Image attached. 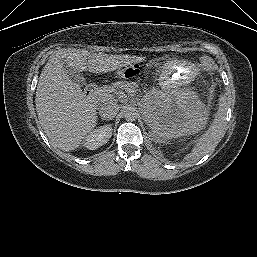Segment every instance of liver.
Here are the masks:
<instances>
[{
  "label": "liver",
  "mask_w": 257,
  "mask_h": 257,
  "mask_svg": "<svg viewBox=\"0 0 257 257\" xmlns=\"http://www.w3.org/2000/svg\"><path fill=\"white\" fill-rule=\"evenodd\" d=\"M141 60L130 55L90 54L85 49L52 54L40 74L35 104L39 122L53 146L65 152L76 150L97 124L95 106L66 75L64 64L79 72L100 74Z\"/></svg>",
  "instance_id": "obj_1"
}]
</instances>
